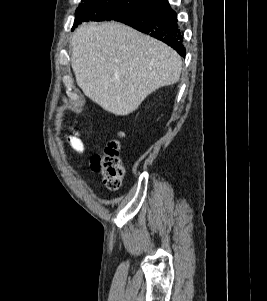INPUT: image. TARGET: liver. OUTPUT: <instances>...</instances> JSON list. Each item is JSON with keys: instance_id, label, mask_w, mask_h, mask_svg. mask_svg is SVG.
Here are the masks:
<instances>
[{"instance_id": "obj_1", "label": "liver", "mask_w": 267, "mask_h": 301, "mask_svg": "<svg viewBox=\"0 0 267 301\" xmlns=\"http://www.w3.org/2000/svg\"><path fill=\"white\" fill-rule=\"evenodd\" d=\"M71 46L77 85L117 116L129 115L152 92L180 79L182 59L175 50L121 23H83Z\"/></svg>"}]
</instances>
